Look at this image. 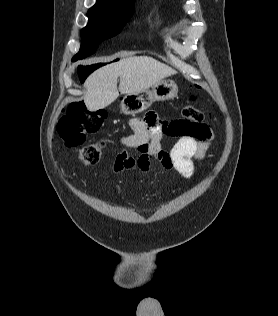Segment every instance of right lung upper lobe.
Returning a JSON list of instances; mask_svg holds the SVG:
<instances>
[{
	"instance_id": "obj_1",
	"label": "right lung upper lobe",
	"mask_w": 278,
	"mask_h": 316,
	"mask_svg": "<svg viewBox=\"0 0 278 316\" xmlns=\"http://www.w3.org/2000/svg\"><path fill=\"white\" fill-rule=\"evenodd\" d=\"M134 0H97L93 7L99 8H129L133 7Z\"/></svg>"
}]
</instances>
